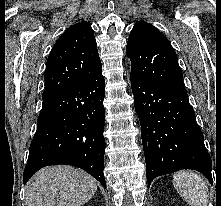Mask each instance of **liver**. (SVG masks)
Wrapping results in <instances>:
<instances>
[{
    "instance_id": "6515ba94",
    "label": "liver",
    "mask_w": 221,
    "mask_h": 206,
    "mask_svg": "<svg viewBox=\"0 0 221 206\" xmlns=\"http://www.w3.org/2000/svg\"><path fill=\"white\" fill-rule=\"evenodd\" d=\"M97 190L96 180L81 169L58 165L40 170L27 184L28 206H81Z\"/></svg>"
}]
</instances>
